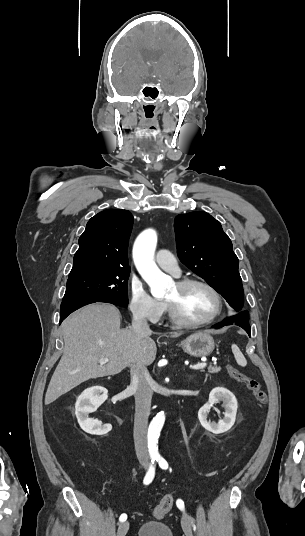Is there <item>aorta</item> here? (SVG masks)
Instances as JSON below:
<instances>
[{"label":"aorta","instance_id":"762f6f07","mask_svg":"<svg viewBox=\"0 0 305 536\" xmlns=\"http://www.w3.org/2000/svg\"><path fill=\"white\" fill-rule=\"evenodd\" d=\"M157 245V234L153 229L143 231L133 246V260L135 266L151 289L156 298L164 297L172 285V280L158 268L154 261ZM165 422L164 412L158 413L152 420L151 426L161 429Z\"/></svg>","mask_w":305,"mask_h":536}]
</instances>
